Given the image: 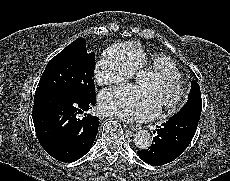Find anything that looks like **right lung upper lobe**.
<instances>
[{
    "label": "right lung upper lobe",
    "instance_id": "cb5924a9",
    "mask_svg": "<svg viewBox=\"0 0 230 181\" xmlns=\"http://www.w3.org/2000/svg\"><path fill=\"white\" fill-rule=\"evenodd\" d=\"M76 40H84L83 38H78V39H76Z\"/></svg>",
    "mask_w": 230,
    "mask_h": 181
}]
</instances>
